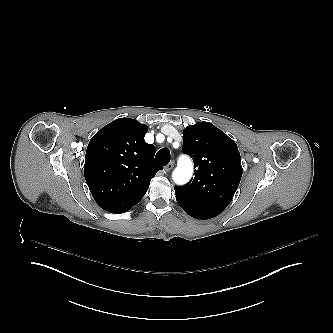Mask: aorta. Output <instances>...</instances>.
I'll return each instance as SVG.
<instances>
[{
    "label": "aorta",
    "instance_id": "obj_1",
    "mask_svg": "<svg viewBox=\"0 0 333 333\" xmlns=\"http://www.w3.org/2000/svg\"><path fill=\"white\" fill-rule=\"evenodd\" d=\"M191 175V165L186 162L184 166H178L174 172V178L178 183L186 182Z\"/></svg>",
    "mask_w": 333,
    "mask_h": 333
}]
</instances>
